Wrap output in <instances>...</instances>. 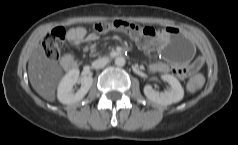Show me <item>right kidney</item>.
Masks as SVG:
<instances>
[{
  "label": "right kidney",
  "mask_w": 238,
  "mask_h": 145,
  "mask_svg": "<svg viewBox=\"0 0 238 145\" xmlns=\"http://www.w3.org/2000/svg\"><path fill=\"white\" fill-rule=\"evenodd\" d=\"M77 82L81 83V87L76 93H74L73 86ZM92 84L93 78L91 76H83L79 78V70L71 69L61 79L58 85L57 98L63 104H74L84 98Z\"/></svg>",
  "instance_id": "1"
}]
</instances>
